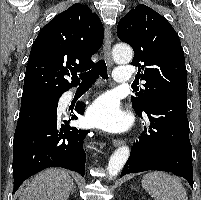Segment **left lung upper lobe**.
Returning a JSON list of instances; mask_svg holds the SVG:
<instances>
[{
    "instance_id": "1",
    "label": "left lung upper lobe",
    "mask_w": 201,
    "mask_h": 200,
    "mask_svg": "<svg viewBox=\"0 0 201 200\" xmlns=\"http://www.w3.org/2000/svg\"><path fill=\"white\" fill-rule=\"evenodd\" d=\"M117 36L133 48L131 64L138 66L139 78L146 81L145 89H137L131 97L136 112L143 111L157 96H187L183 49L178 34L164 17L145 5H137L119 21Z\"/></svg>"
}]
</instances>
